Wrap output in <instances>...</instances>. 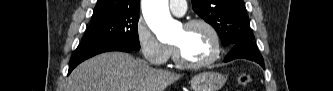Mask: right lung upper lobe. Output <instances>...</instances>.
I'll return each instance as SVG.
<instances>
[{
    "mask_svg": "<svg viewBox=\"0 0 333 91\" xmlns=\"http://www.w3.org/2000/svg\"><path fill=\"white\" fill-rule=\"evenodd\" d=\"M139 3L140 0H98L92 18L128 12H139Z\"/></svg>",
    "mask_w": 333,
    "mask_h": 91,
    "instance_id": "right-lung-upper-lobe-1",
    "label": "right lung upper lobe"
}]
</instances>
